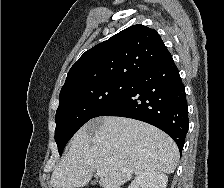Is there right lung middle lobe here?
I'll list each match as a JSON object with an SVG mask.
<instances>
[{"mask_svg":"<svg viewBox=\"0 0 224 188\" xmlns=\"http://www.w3.org/2000/svg\"><path fill=\"white\" fill-rule=\"evenodd\" d=\"M130 86L131 80L128 79L106 80L62 90L55 117V141L59 154L82 125L118 103Z\"/></svg>","mask_w":224,"mask_h":188,"instance_id":"obj_1","label":"right lung middle lobe"}]
</instances>
